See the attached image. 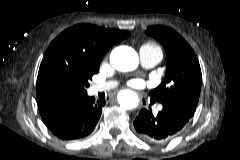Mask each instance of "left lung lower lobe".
<instances>
[{
    "label": "left lung lower lobe",
    "instance_id": "obj_1",
    "mask_svg": "<svg viewBox=\"0 0 240 160\" xmlns=\"http://www.w3.org/2000/svg\"><path fill=\"white\" fill-rule=\"evenodd\" d=\"M157 115L142 109L134 121L136 133L151 143H163L173 138L190 120L194 111L174 103H162Z\"/></svg>",
    "mask_w": 240,
    "mask_h": 160
}]
</instances>
